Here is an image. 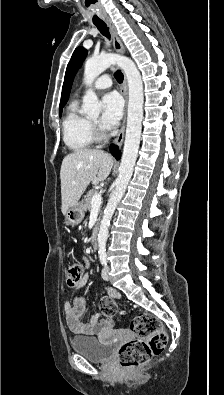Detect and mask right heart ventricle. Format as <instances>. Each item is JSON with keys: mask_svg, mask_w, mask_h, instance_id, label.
I'll use <instances>...</instances> for the list:
<instances>
[{"mask_svg": "<svg viewBox=\"0 0 224 395\" xmlns=\"http://www.w3.org/2000/svg\"><path fill=\"white\" fill-rule=\"evenodd\" d=\"M63 139L65 144L74 151H83L94 142L91 121L83 115L77 101H73L63 120Z\"/></svg>", "mask_w": 224, "mask_h": 395, "instance_id": "right-heart-ventricle-1", "label": "right heart ventricle"}]
</instances>
